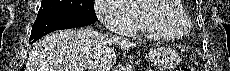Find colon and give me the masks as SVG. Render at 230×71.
I'll list each match as a JSON object with an SVG mask.
<instances>
[{"mask_svg":"<svg viewBox=\"0 0 230 71\" xmlns=\"http://www.w3.org/2000/svg\"><path fill=\"white\" fill-rule=\"evenodd\" d=\"M179 70L180 71H193V69L189 66H181Z\"/></svg>","mask_w":230,"mask_h":71,"instance_id":"1","label":"colon"}]
</instances>
